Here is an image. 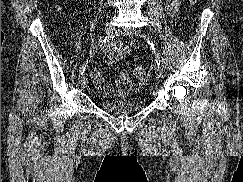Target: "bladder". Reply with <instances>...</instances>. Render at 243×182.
<instances>
[{
	"label": "bladder",
	"instance_id": "1",
	"mask_svg": "<svg viewBox=\"0 0 243 182\" xmlns=\"http://www.w3.org/2000/svg\"><path fill=\"white\" fill-rule=\"evenodd\" d=\"M97 102L101 109L115 115L137 113L143 108L142 100L135 95L115 98L102 94L99 95Z\"/></svg>",
	"mask_w": 243,
	"mask_h": 182
}]
</instances>
